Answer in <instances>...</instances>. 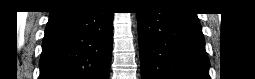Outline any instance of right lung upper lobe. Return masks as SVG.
I'll list each match as a JSON object with an SVG mask.
<instances>
[{"label":"right lung upper lobe","mask_w":255,"mask_h":79,"mask_svg":"<svg viewBox=\"0 0 255 79\" xmlns=\"http://www.w3.org/2000/svg\"><path fill=\"white\" fill-rule=\"evenodd\" d=\"M82 2H85V1H82V0H61V1L58 2L57 7L79 4V3H82Z\"/></svg>","instance_id":"obj_1"}]
</instances>
